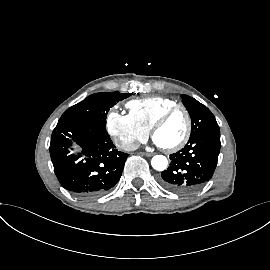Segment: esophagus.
<instances>
[{"label": "esophagus", "mask_w": 270, "mask_h": 270, "mask_svg": "<svg viewBox=\"0 0 270 270\" xmlns=\"http://www.w3.org/2000/svg\"><path fill=\"white\" fill-rule=\"evenodd\" d=\"M143 154H144L145 156H147V157L153 156V153L144 152Z\"/></svg>", "instance_id": "obj_1"}]
</instances>
